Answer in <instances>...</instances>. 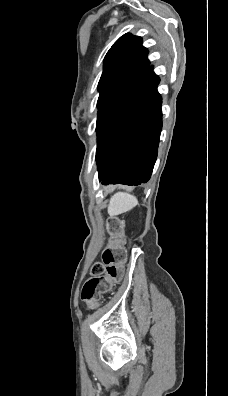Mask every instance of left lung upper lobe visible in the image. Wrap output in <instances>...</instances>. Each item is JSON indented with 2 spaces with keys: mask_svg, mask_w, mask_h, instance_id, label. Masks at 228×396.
Returning a JSON list of instances; mask_svg holds the SVG:
<instances>
[{
  "mask_svg": "<svg viewBox=\"0 0 228 396\" xmlns=\"http://www.w3.org/2000/svg\"><path fill=\"white\" fill-rule=\"evenodd\" d=\"M147 54L141 37L130 33L121 36L106 54L98 84L97 132L114 104L143 77L149 65Z\"/></svg>",
  "mask_w": 228,
  "mask_h": 396,
  "instance_id": "obj_1",
  "label": "left lung upper lobe"
}]
</instances>
